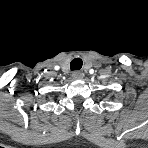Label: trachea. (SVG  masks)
<instances>
[{
  "instance_id": "obj_1",
  "label": "trachea",
  "mask_w": 148,
  "mask_h": 148,
  "mask_svg": "<svg viewBox=\"0 0 148 148\" xmlns=\"http://www.w3.org/2000/svg\"><path fill=\"white\" fill-rule=\"evenodd\" d=\"M83 62L80 58H74L70 63L71 70H80Z\"/></svg>"
}]
</instances>
